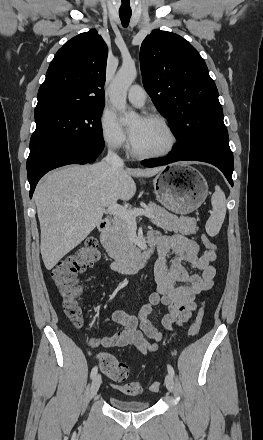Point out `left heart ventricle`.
<instances>
[{
  "label": "left heart ventricle",
  "instance_id": "obj_1",
  "mask_svg": "<svg viewBox=\"0 0 263 440\" xmlns=\"http://www.w3.org/2000/svg\"><path fill=\"white\" fill-rule=\"evenodd\" d=\"M135 130L134 146L142 152L163 150L169 143V135L162 125L154 121L137 119L130 125Z\"/></svg>",
  "mask_w": 263,
  "mask_h": 440
}]
</instances>
